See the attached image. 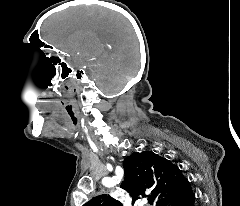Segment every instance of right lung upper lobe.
<instances>
[{
	"label": "right lung upper lobe",
	"instance_id": "right-lung-upper-lobe-1",
	"mask_svg": "<svg viewBox=\"0 0 240 206\" xmlns=\"http://www.w3.org/2000/svg\"><path fill=\"white\" fill-rule=\"evenodd\" d=\"M123 166L125 180L121 188L129 192L132 203L149 193L159 206L189 184L175 164L152 151L132 154L124 160ZM84 206H122V203L107 194H99Z\"/></svg>",
	"mask_w": 240,
	"mask_h": 206
}]
</instances>
